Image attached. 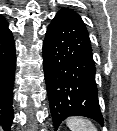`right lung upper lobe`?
I'll use <instances>...</instances> for the list:
<instances>
[{
  "mask_svg": "<svg viewBox=\"0 0 117 131\" xmlns=\"http://www.w3.org/2000/svg\"><path fill=\"white\" fill-rule=\"evenodd\" d=\"M8 25L4 17L0 15V30L4 29Z\"/></svg>",
  "mask_w": 117,
  "mask_h": 131,
  "instance_id": "right-lung-upper-lobe-1",
  "label": "right lung upper lobe"
}]
</instances>
